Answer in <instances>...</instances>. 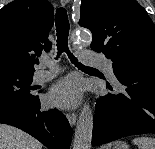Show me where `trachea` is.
I'll return each mask as SVG.
<instances>
[{
  "label": "trachea",
  "instance_id": "trachea-1",
  "mask_svg": "<svg viewBox=\"0 0 155 149\" xmlns=\"http://www.w3.org/2000/svg\"><path fill=\"white\" fill-rule=\"evenodd\" d=\"M56 31H57V54L60 55L62 52H66L73 64L80 69H95L92 67L84 66L78 62L77 58L70 53L68 49V34L70 29V24L67 16V11L65 8L60 7L56 10Z\"/></svg>",
  "mask_w": 155,
  "mask_h": 149
}]
</instances>
